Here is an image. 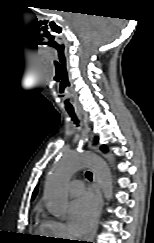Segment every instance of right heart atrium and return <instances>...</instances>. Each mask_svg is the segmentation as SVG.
<instances>
[{
  "label": "right heart atrium",
  "instance_id": "d8ad5b80",
  "mask_svg": "<svg viewBox=\"0 0 154 243\" xmlns=\"http://www.w3.org/2000/svg\"><path fill=\"white\" fill-rule=\"evenodd\" d=\"M47 221L50 232L54 237H58L60 239L71 237L68 228L63 222L52 218L47 219Z\"/></svg>",
  "mask_w": 154,
  "mask_h": 243
}]
</instances>
